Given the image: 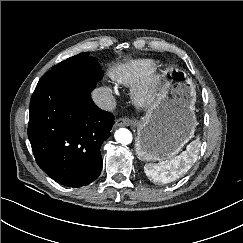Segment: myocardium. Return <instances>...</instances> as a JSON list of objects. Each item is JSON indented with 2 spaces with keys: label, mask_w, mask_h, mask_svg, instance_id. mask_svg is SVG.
<instances>
[{
  "label": "myocardium",
  "mask_w": 243,
  "mask_h": 243,
  "mask_svg": "<svg viewBox=\"0 0 243 243\" xmlns=\"http://www.w3.org/2000/svg\"><path fill=\"white\" fill-rule=\"evenodd\" d=\"M146 94H147L146 88H142L141 91H140V93H139V96L140 97H144Z\"/></svg>",
  "instance_id": "f54148a6"
}]
</instances>
